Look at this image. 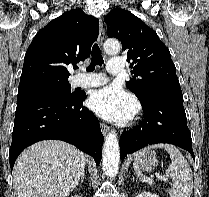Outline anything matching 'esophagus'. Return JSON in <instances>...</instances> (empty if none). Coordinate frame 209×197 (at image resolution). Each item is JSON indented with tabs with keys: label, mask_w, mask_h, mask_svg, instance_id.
I'll return each mask as SVG.
<instances>
[{
	"label": "esophagus",
	"mask_w": 209,
	"mask_h": 197,
	"mask_svg": "<svg viewBox=\"0 0 209 197\" xmlns=\"http://www.w3.org/2000/svg\"><path fill=\"white\" fill-rule=\"evenodd\" d=\"M104 41V30H103V25H102V21L101 19H99V35H98V43L100 46H102ZM109 126L101 123V131L104 135L107 134V132L109 131Z\"/></svg>",
	"instance_id": "esophagus-1"
}]
</instances>
